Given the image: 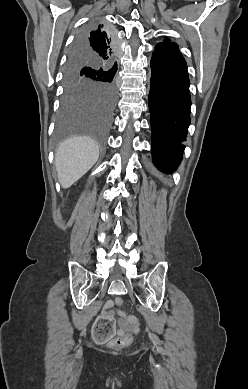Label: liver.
I'll list each match as a JSON object with an SVG mask.
<instances>
[{
	"label": "liver",
	"mask_w": 248,
	"mask_h": 389,
	"mask_svg": "<svg viewBox=\"0 0 248 389\" xmlns=\"http://www.w3.org/2000/svg\"><path fill=\"white\" fill-rule=\"evenodd\" d=\"M99 146L88 136H73L63 141L55 152V167L63 188L77 182L97 162Z\"/></svg>",
	"instance_id": "6515ba94"
}]
</instances>
